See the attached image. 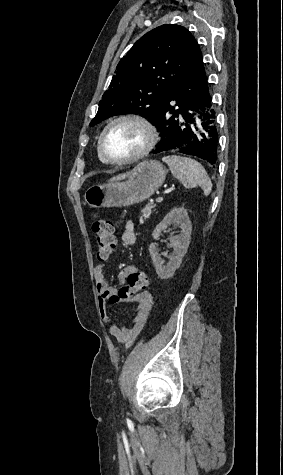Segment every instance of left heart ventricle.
I'll list each match as a JSON object with an SVG mask.
<instances>
[{"mask_svg":"<svg viewBox=\"0 0 283 475\" xmlns=\"http://www.w3.org/2000/svg\"><path fill=\"white\" fill-rule=\"evenodd\" d=\"M148 139L146 128L134 121H121L105 134L103 147L107 156L123 158L139 152Z\"/></svg>","mask_w":283,"mask_h":475,"instance_id":"1","label":"left heart ventricle"}]
</instances>
